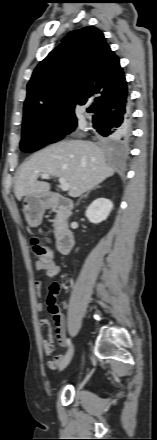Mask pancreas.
I'll use <instances>...</instances> for the list:
<instances>
[{
  "label": "pancreas",
  "mask_w": 157,
  "mask_h": 440,
  "mask_svg": "<svg viewBox=\"0 0 157 440\" xmlns=\"http://www.w3.org/2000/svg\"><path fill=\"white\" fill-rule=\"evenodd\" d=\"M53 227H54V232L55 235H57L58 229H59V219L56 217L53 221Z\"/></svg>",
  "instance_id": "cf45deb5"
}]
</instances>
